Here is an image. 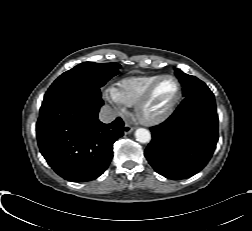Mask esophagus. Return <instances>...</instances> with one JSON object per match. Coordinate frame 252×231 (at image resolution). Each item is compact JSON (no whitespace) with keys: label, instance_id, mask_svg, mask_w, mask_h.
I'll return each mask as SVG.
<instances>
[{"label":"esophagus","instance_id":"34e87169","mask_svg":"<svg viewBox=\"0 0 252 231\" xmlns=\"http://www.w3.org/2000/svg\"><path fill=\"white\" fill-rule=\"evenodd\" d=\"M134 130V127H132L129 124H125L123 127V132L125 135L130 134Z\"/></svg>","mask_w":252,"mask_h":231}]
</instances>
